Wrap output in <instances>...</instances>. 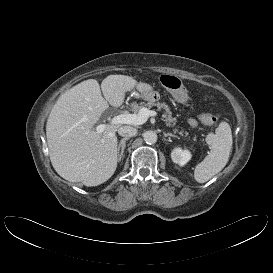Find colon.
Listing matches in <instances>:
<instances>
[{"instance_id":"5ec220e1","label":"colon","mask_w":273,"mask_h":273,"mask_svg":"<svg viewBox=\"0 0 273 273\" xmlns=\"http://www.w3.org/2000/svg\"><path fill=\"white\" fill-rule=\"evenodd\" d=\"M161 83L165 88L172 92L173 96L178 101L180 102L187 101L188 99L187 92L184 86L182 85L181 81L177 77L172 75H163L161 77ZM200 120L202 123L206 125H213L217 122L218 119L216 116L212 114L205 113L201 115Z\"/></svg>"}]
</instances>
